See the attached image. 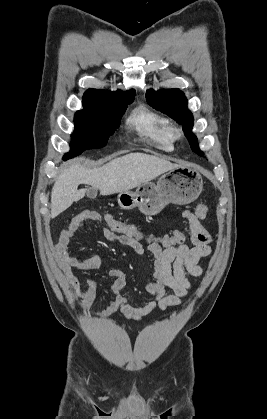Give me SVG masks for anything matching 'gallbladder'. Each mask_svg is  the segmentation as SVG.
<instances>
[{"instance_id": "bac80fb5", "label": "gallbladder", "mask_w": 267, "mask_h": 419, "mask_svg": "<svg viewBox=\"0 0 267 419\" xmlns=\"http://www.w3.org/2000/svg\"><path fill=\"white\" fill-rule=\"evenodd\" d=\"M87 196L91 199H94L97 196V189L96 188H89L86 190Z\"/></svg>"}]
</instances>
